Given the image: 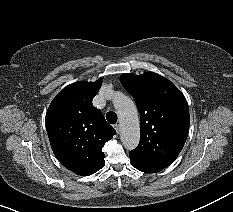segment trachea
<instances>
[{
	"mask_svg": "<svg viewBox=\"0 0 233 212\" xmlns=\"http://www.w3.org/2000/svg\"><path fill=\"white\" fill-rule=\"evenodd\" d=\"M106 119L110 124H115L117 122V115L115 112H108L106 114Z\"/></svg>",
	"mask_w": 233,
	"mask_h": 212,
	"instance_id": "3493384b",
	"label": "trachea"
}]
</instances>
